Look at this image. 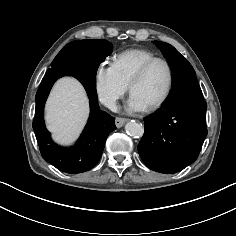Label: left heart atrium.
Instances as JSON below:
<instances>
[{
  "mask_svg": "<svg viewBox=\"0 0 236 236\" xmlns=\"http://www.w3.org/2000/svg\"><path fill=\"white\" fill-rule=\"evenodd\" d=\"M147 106L135 95L131 94L128 101V109L133 112L143 111Z\"/></svg>",
  "mask_w": 236,
  "mask_h": 236,
  "instance_id": "left-heart-atrium-1",
  "label": "left heart atrium"
}]
</instances>
